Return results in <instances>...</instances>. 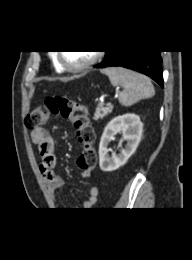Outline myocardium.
I'll list each match as a JSON object with an SVG mask.
<instances>
[{
    "mask_svg": "<svg viewBox=\"0 0 192 260\" xmlns=\"http://www.w3.org/2000/svg\"><path fill=\"white\" fill-rule=\"evenodd\" d=\"M100 58V53L99 52H95L93 54V56L87 60L86 62H84L83 64L77 65V66H72L69 65L68 63H66V61L64 60L63 57V53L59 52L57 55V60L60 64V66L70 72H81L86 70L87 68H89L90 66L94 65Z\"/></svg>",
    "mask_w": 192,
    "mask_h": 260,
    "instance_id": "f54148a6",
    "label": "myocardium"
}]
</instances>
